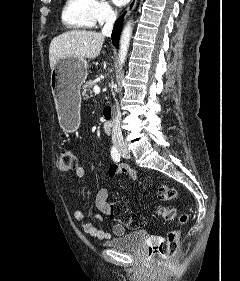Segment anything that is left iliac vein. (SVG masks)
Listing matches in <instances>:
<instances>
[{"instance_id":"1","label":"left iliac vein","mask_w":240,"mask_h":281,"mask_svg":"<svg viewBox=\"0 0 240 281\" xmlns=\"http://www.w3.org/2000/svg\"><path fill=\"white\" fill-rule=\"evenodd\" d=\"M122 156L126 159H129L130 158V154L128 152L126 153H122Z\"/></svg>"}]
</instances>
